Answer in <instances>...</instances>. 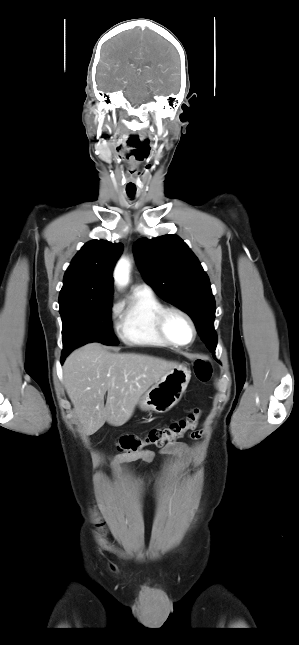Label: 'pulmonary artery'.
I'll return each instance as SVG.
<instances>
[{
	"label": "pulmonary artery",
	"mask_w": 299,
	"mask_h": 645,
	"mask_svg": "<svg viewBox=\"0 0 299 645\" xmlns=\"http://www.w3.org/2000/svg\"><path fill=\"white\" fill-rule=\"evenodd\" d=\"M135 290H142V291H146V292H152L151 287L149 285H147V284H139L135 288Z\"/></svg>",
	"instance_id": "1"
}]
</instances>
